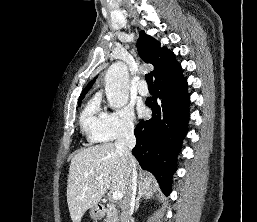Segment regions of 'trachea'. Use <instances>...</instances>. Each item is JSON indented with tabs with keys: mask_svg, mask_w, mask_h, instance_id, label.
Returning a JSON list of instances; mask_svg holds the SVG:
<instances>
[{
	"mask_svg": "<svg viewBox=\"0 0 257 222\" xmlns=\"http://www.w3.org/2000/svg\"><path fill=\"white\" fill-rule=\"evenodd\" d=\"M145 80H146V82L148 84V87L153 88V86H154V84H153V76L148 73V74L145 75Z\"/></svg>",
	"mask_w": 257,
	"mask_h": 222,
	"instance_id": "obj_1",
	"label": "trachea"
}]
</instances>
